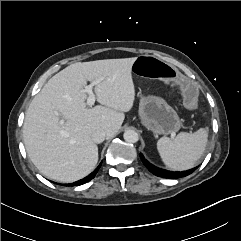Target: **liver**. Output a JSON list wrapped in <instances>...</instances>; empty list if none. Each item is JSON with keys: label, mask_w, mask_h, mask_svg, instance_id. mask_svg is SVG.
Returning <instances> with one entry per match:
<instances>
[{"label": "liver", "mask_w": 241, "mask_h": 241, "mask_svg": "<svg viewBox=\"0 0 241 241\" xmlns=\"http://www.w3.org/2000/svg\"><path fill=\"white\" fill-rule=\"evenodd\" d=\"M136 57L77 62L55 74L26 111L23 140L28 157L44 176L70 183L90 174L98 162L92 140L101 129L107 138L121 128L135 100L132 65ZM95 86L100 105L87 107L84 87Z\"/></svg>", "instance_id": "1"}]
</instances>
